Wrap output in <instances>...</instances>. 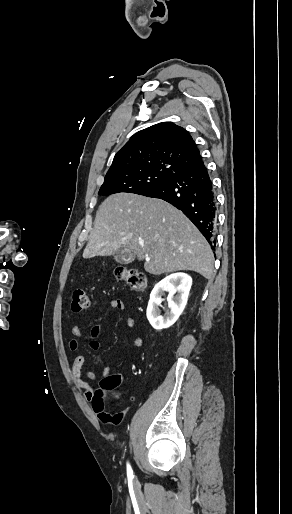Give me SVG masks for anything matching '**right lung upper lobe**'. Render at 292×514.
Returning a JSON list of instances; mask_svg holds the SVG:
<instances>
[{
  "label": "right lung upper lobe",
  "instance_id": "right-lung-upper-lobe-1",
  "mask_svg": "<svg viewBox=\"0 0 292 514\" xmlns=\"http://www.w3.org/2000/svg\"><path fill=\"white\" fill-rule=\"evenodd\" d=\"M202 163L191 135L182 127L163 122L134 134L116 153L105 178L144 172H168Z\"/></svg>",
  "mask_w": 292,
  "mask_h": 514
}]
</instances>
